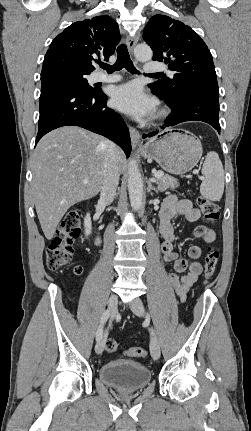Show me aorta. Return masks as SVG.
<instances>
[{
    "mask_svg": "<svg viewBox=\"0 0 251 431\" xmlns=\"http://www.w3.org/2000/svg\"><path fill=\"white\" fill-rule=\"evenodd\" d=\"M134 55L140 61H148L153 54L149 46L137 45ZM128 192L132 208L139 210L143 204V182L137 163L132 159L128 164Z\"/></svg>",
    "mask_w": 251,
    "mask_h": 431,
    "instance_id": "1",
    "label": "aorta"
}]
</instances>
